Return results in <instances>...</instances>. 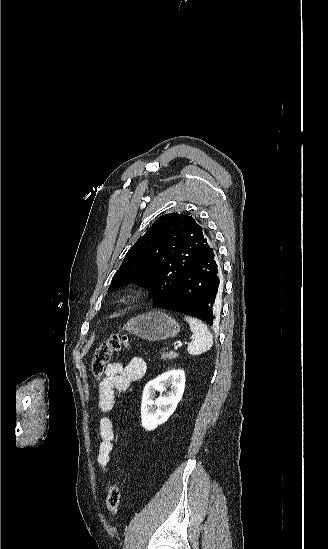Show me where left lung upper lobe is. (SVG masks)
Wrapping results in <instances>:
<instances>
[{"label": "left lung upper lobe", "mask_w": 328, "mask_h": 549, "mask_svg": "<svg viewBox=\"0 0 328 549\" xmlns=\"http://www.w3.org/2000/svg\"><path fill=\"white\" fill-rule=\"evenodd\" d=\"M209 248L202 227L190 216H160L128 250L108 291L130 280L144 285L155 300L167 297L198 256Z\"/></svg>", "instance_id": "5c2ea615"}]
</instances>
